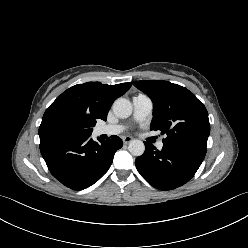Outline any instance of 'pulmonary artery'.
<instances>
[{"mask_svg":"<svg viewBox=\"0 0 248 248\" xmlns=\"http://www.w3.org/2000/svg\"><path fill=\"white\" fill-rule=\"evenodd\" d=\"M133 117L137 121L146 119L153 109L152 100L145 94H137L132 99ZM125 127L123 125H104L97 129L98 134L116 135L121 133ZM164 143L159 141L157 143L158 149H162Z\"/></svg>","mask_w":248,"mask_h":248,"instance_id":"obj_1","label":"pulmonary artery"}]
</instances>
